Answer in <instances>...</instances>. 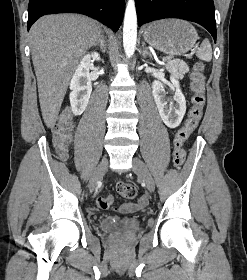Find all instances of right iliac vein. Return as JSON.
<instances>
[{"label": "right iliac vein", "instance_id": "obj_1", "mask_svg": "<svg viewBox=\"0 0 247 280\" xmlns=\"http://www.w3.org/2000/svg\"><path fill=\"white\" fill-rule=\"evenodd\" d=\"M107 169H108V160L104 159L101 161V163L98 165V167L93 173V176L90 181V187L92 189L95 187L96 183L105 175Z\"/></svg>", "mask_w": 247, "mask_h": 280}]
</instances>
